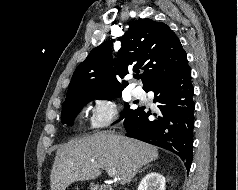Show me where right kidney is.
Returning <instances> with one entry per match:
<instances>
[{
    "label": "right kidney",
    "instance_id": "1",
    "mask_svg": "<svg viewBox=\"0 0 238 190\" xmlns=\"http://www.w3.org/2000/svg\"><path fill=\"white\" fill-rule=\"evenodd\" d=\"M165 177L157 172L147 174L137 190H165Z\"/></svg>",
    "mask_w": 238,
    "mask_h": 190
}]
</instances>
